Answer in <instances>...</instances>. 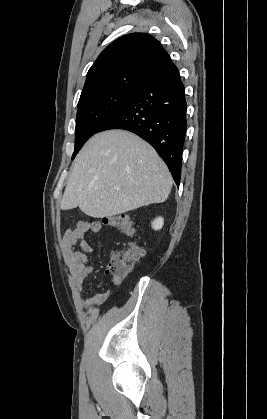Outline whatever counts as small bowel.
Returning a JSON list of instances; mask_svg holds the SVG:
<instances>
[{"instance_id":"1","label":"small bowel","mask_w":267,"mask_h":419,"mask_svg":"<svg viewBox=\"0 0 267 419\" xmlns=\"http://www.w3.org/2000/svg\"><path fill=\"white\" fill-rule=\"evenodd\" d=\"M102 225L99 221H79L68 228L62 237L63 257L68 267L70 279L75 287L78 300L85 308L100 307L110 296L111 289L95 292L88 298L82 297V288L93 271L88 255L93 251L91 244L85 239L87 233L100 232ZM121 277H112V286L121 283Z\"/></svg>"}]
</instances>
